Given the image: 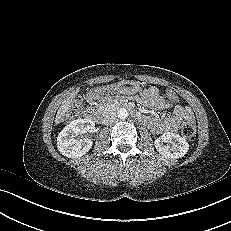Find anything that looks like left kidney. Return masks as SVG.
<instances>
[{
  "label": "left kidney",
  "instance_id": "1",
  "mask_svg": "<svg viewBox=\"0 0 231 231\" xmlns=\"http://www.w3.org/2000/svg\"><path fill=\"white\" fill-rule=\"evenodd\" d=\"M155 148L166 158L178 159L188 152L189 145L179 134L165 132L155 140Z\"/></svg>",
  "mask_w": 231,
  "mask_h": 231
}]
</instances>
